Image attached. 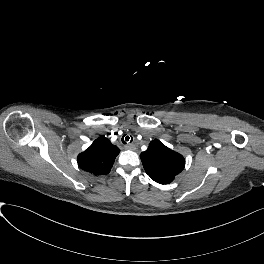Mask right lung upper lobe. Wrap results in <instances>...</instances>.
Wrapping results in <instances>:
<instances>
[{"mask_svg": "<svg viewBox=\"0 0 264 264\" xmlns=\"http://www.w3.org/2000/svg\"><path fill=\"white\" fill-rule=\"evenodd\" d=\"M120 150L105 137H99L92 145L78 155L77 162L81 169L93 174H108Z\"/></svg>", "mask_w": 264, "mask_h": 264, "instance_id": "cb5924a9", "label": "right lung upper lobe"}]
</instances>
